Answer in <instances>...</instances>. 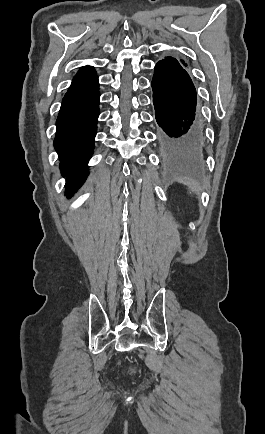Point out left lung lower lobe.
Returning <instances> with one entry per match:
<instances>
[{
	"mask_svg": "<svg viewBox=\"0 0 265 434\" xmlns=\"http://www.w3.org/2000/svg\"><path fill=\"white\" fill-rule=\"evenodd\" d=\"M156 138L167 153L196 155L206 146L204 127L196 108V89L180 60H160L152 79Z\"/></svg>",
	"mask_w": 265,
	"mask_h": 434,
	"instance_id": "1",
	"label": "left lung lower lobe"
}]
</instances>
